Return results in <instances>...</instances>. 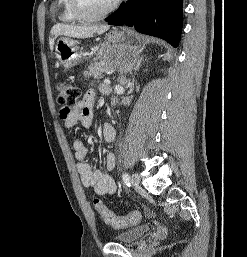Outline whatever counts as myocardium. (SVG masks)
<instances>
[{"label": "myocardium", "instance_id": "1", "mask_svg": "<svg viewBox=\"0 0 247 257\" xmlns=\"http://www.w3.org/2000/svg\"><path fill=\"white\" fill-rule=\"evenodd\" d=\"M123 0H114L105 10L96 13V14H90L85 11L83 7L82 0H71L72 3V10L79 21L82 22H94L98 21L100 19L105 18L106 16L110 15L112 12H114L120 3Z\"/></svg>", "mask_w": 247, "mask_h": 257}]
</instances>
